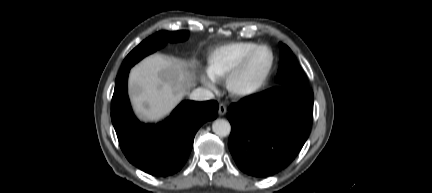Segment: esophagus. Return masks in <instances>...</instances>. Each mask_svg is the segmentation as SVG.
I'll list each match as a JSON object with an SVG mask.
<instances>
[{
  "instance_id": "1",
  "label": "esophagus",
  "mask_w": 432,
  "mask_h": 193,
  "mask_svg": "<svg viewBox=\"0 0 432 193\" xmlns=\"http://www.w3.org/2000/svg\"><path fill=\"white\" fill-rule=\"evenodd\" d=\"M226 112H227V107H226V105H225L224 103H220V104H219V108H218V114H219L220 116H223V115L226 114Z\"/></svg>"
}]
</instances>
